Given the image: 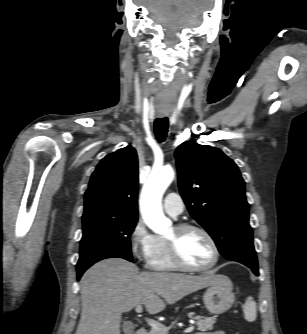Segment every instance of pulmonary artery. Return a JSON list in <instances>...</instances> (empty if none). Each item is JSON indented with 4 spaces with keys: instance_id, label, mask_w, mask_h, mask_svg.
Masks as SVG:
<instances>
[{
    "instance_id": "obj_1",
    "label": "pulmonary artery",
    "mask_w": 307,
    "mask_h": 334,
    "mask_svg": "<svg viewBox=\"0 0 307 334\" xmlns=\"http://www.w3.org/2000/svg\"><path fill=\"white\" fill-rule=\"evenodd\" d=\"M164 211L173 218L179 216L184 209V204L181 196L177 193H169L164 198L163 202Z\"/></svg>"
}]
</instances>
